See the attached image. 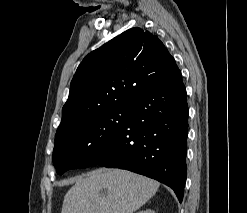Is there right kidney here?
I'll return each mask as SVG.
<instances>
[{
    "instance_id": "right-kidney-1",
    "label": "right kidney",
    "mask_w": 247,
    "mask_h": 213,
    "mask_svg": "<svg viewBox=\"0 0 247 213\" xmlns=\"http://www.w3.org/2000/svg\"><path fill=\"white\" fill-rule=\"evenodd\" d=\"M137 213H155V212L151 209H146V210L138 211Z\"/></svg>"
}]
</instances>
